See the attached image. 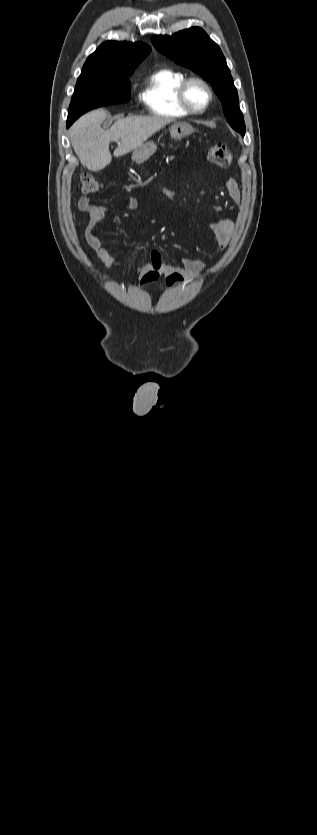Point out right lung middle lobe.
<instances>
[{
	"instance_id": "1",
	"label": "right lung middle lobe",
	"mask_w": 317,
	"mask_h": 835,
	"mask_svg": "<svg viewBox=\"0 0 317 835\" xmlns=\"http://www.w3.org/2000/svg\"><path fill=\"white\" fill-rule=\"evenodd\" d=\"M134 69L106 73H81L71 99L67 127L85 112L111 104L128 102L130 81Z\"/></svg>"
}]
</instances>
